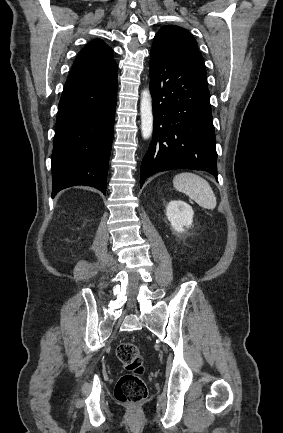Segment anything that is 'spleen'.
I'll use <instances>...</instances> for the list:
<instances>
[{
    "instance_id": "1",
    "label": "spleen",
    "mask_w": 283,
    "mask_h": 433,
    "mask_svg": "<svg viewBox=\"0 0 283 433\" xmlns=\"http://www.w3.org/2000/svg\"><path fill=\"white\" fill-rule=\"evenodd\" d=\"M173 186L179 192H185L192 200L198 202L203 208H215L216 196L207 180L193 174V172H181L173 178Z\"/></svg>"
}]
</instances>
